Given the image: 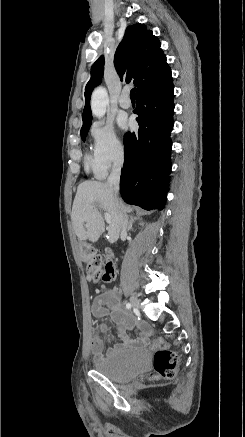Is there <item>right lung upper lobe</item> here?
Wrapping results in <instances>:
<instances>
[{
    "label": "right lung upper lobe",
    "mask_w": 245,
    "mask_h": 437,
    "mask_svg": "<svg viewBox=\"0 0 245 437\" xmlns=\"http://www.w3.org/2000/svg\"><path fill=\"white\" fill-rule=\"evenodd\" d=\"M159 39L144 24L128 26L123 40L117 47L114 65L121 80L134 79L136 95L149 89L163 86L172 81L171 70ZM104 57L101 56L91 67V78L85 87L86 104L83 110V126L91 124V93L101 83ZM82 126V127H83Z\"/></svg>",
    "instance_id": "right-lung-upper-lobe-1"
}]
</instances>
